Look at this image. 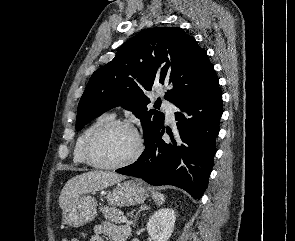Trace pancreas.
<instances>
[{
  "label": "pancreas",
  "instance_id": "cf45deb5",
  "mask_svg": "<svg viewBox=\"0 0 295 241\" xmlns=\"http://www.w3.org/2000/svg\"><path fill=\"white\" fill-rule=\"evenodd\" d=\"M104 213V218L116 224H120V217H122L123 212L115 207H104L102 208Z\"/></svg>",
  "mask_w": 295,
  "mask_h": 241
}]
</instances>
